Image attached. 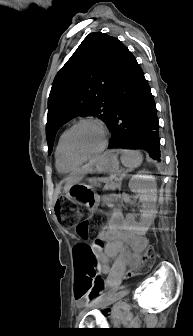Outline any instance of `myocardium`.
I'll return each mask as SVG.
<instances>
[{"label":"myocardium","instance_id":"f54148a6","mask_svg":"<svg viewBox=\"0 0 193 336\" xmlns=\"http://www.w3.org/2000/svg\"><path fill=\"white\" fill-rule=\"evenodd\" d=\"M85 123H90V124H94L98 126L103 132L104 140H103L101 147L94 153H91L89 155H79V154L74 153L70 147V135L78 126L85 124ZM108 141H109V131L102 121L98 119H94V118H82L76 121L74 124H72L65 131L64 137H63V151L68 160L72 162H83V161L92 159L100 155L106 149L108 145Z\"/></svg>","mask_w":193,"mask_h":336}]
</instances>
